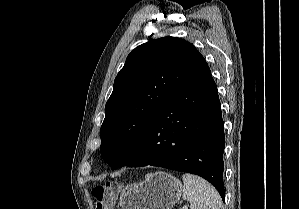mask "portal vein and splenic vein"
I'll list each match as a JSON object with an SVG mask.
<instances>
[{
    "mask_svg": "<svg viewBox=\"0 0 299 209\" xmlns=\"http://www.w3.org/2000/svg\"><path fill=\"white\" fill-rule=\"evenodd\" d=\"M182 209H188V206H184Z\"/></svg>",
    "mask_w": 299,
    "mask_h": 209,
    "instance_id": "1",
    "label": "portal vein and splenic vein"
}]
</instances>
